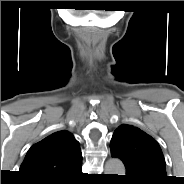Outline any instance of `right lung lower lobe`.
I'll return each instance as SVG.
<instances>
[{"instance_id": "98d812e1", "label": "right lung lower lobe", "mask_w": 184, "mask_h": 184, "mask_svg": "<svg viewBox=\"0 0 184 184\" xmlns=\"http://www.w3.org/2000/svg\"><path fill=\"white\" fill-rule=\"evenodd\" d=\"M82 163L78 165L76 168H74L67 176L60 180L56 181H44V182H39L35 181V184H75L77 178L82 174Z\"/></svg>"}]
</instances>
